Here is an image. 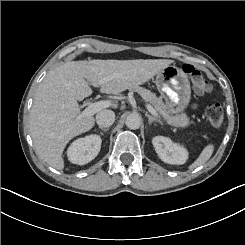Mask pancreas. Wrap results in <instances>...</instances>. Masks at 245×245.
<instances>
[{
  "label": "pancreas",
  "instance_id": "pancreas-1",
  "mask_svg": "<svg viewBox=\"0 0 245 245\" xmlns=\"http://www.w3.org/2000/svg\"><path fill=\"white\" fill-rule=\"evenodd\" d=\"M129 92L137 93L146 102H149L154 107L155 111L160 114L170 125L179 127L188 125V118H186V115L177 114L178 109L170 104H165L163 98L161 96L157 97L156 93L137 85L130 87Z\"/></svg>",
  "mask_w": 245,
  "mask_h": 245
}]
</instances>
